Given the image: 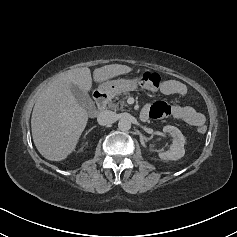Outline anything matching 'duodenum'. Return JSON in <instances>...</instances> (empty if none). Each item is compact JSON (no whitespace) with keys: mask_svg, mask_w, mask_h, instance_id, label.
Segmentation results:
<instances>
[{"mask_svg":"<svg viewBox=\"0 0 237 237\" xmlns=\"http://www.w3.org/2000/svg\"><path fill=\"white\" fill-rule=\"evenodd\" d=\"M93 97H94V101H95V104L98 109L102 110L106 107L107 102H108L106 93L98 90V91L94 92Z\"/></svg>","mask_w":237,"mask_h":237,"instance_id":"410a0bca","label":"duodenum"}]
</instances>
